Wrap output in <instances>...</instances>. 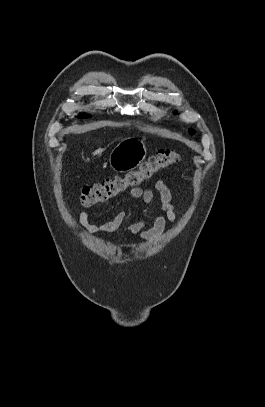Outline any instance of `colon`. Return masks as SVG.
I'll list each match as a JSON object with an SVG mask.
<instances>
[{"instance_id": "obj_1", "label": "colon", "mask_w": 265, "mask_h": 407, "mask_svg": "<svg viewBox=\"0 0 265 407\" xmlns=\"http://www.w3.org/2000/svg\"><path fill=\"white\" fill-rule=\"evenodd\" d=\"M180 161L181 155L177 151L161 149L156 155L143 161L137 169L129 171L124 176H114L93 185L82 186L79 189L80 203L85 207H92L108 202Z\"/></svg>"}]
</instances>
